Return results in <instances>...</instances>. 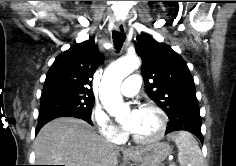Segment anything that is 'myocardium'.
Segmentation results:
<instances>
[{"label":"myocardium","mask_w":236,"mask_h":166,"mask_svg":"<svg viewBox=\"0 0 236 166\" xmlns=\"http://www.w3.org/2000/svg\"><path fill=\"white\" fill-rule=\"evenodd\" d=\"M139 110H153L156 112L159 118V128L154 135L147 138H140L132 134L133 141L138 144L147 145L160 140L163 137L167 127V116L163 109L154 102H144L139 105Z\"/></svg>","instance_id":"myocardium-1"}]
</instances>
